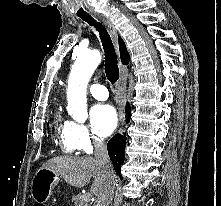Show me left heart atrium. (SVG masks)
<instances>
[{
	"mask_svg": "<svg viewBox=\"0 0 221 206\" xmlns=\"http://www.w3.org/2000/svg\"><path fill=\"white\" fill-rule=\"evenodd\" d=\"M92 127L102 137L110 135L117 127L118 116L110 104H98L91 110Z\"/></svg>",
	"mask_w": 221,
	"mask_h": 206,
	"instance_id": "39dd6f15",
	"label": "left heart atrium"
}]
</instances>
